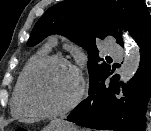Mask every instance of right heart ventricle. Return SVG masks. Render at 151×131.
I'll return each mask as SVG.
<instances>
[{"label":"right heart ventricle","instance_id":"obj_1","mask_svg":"<svg viewBox=\"0 0 151 131\" xmlns=\"http://www.w3.org/2000/svg\"><path fill=\"white\" fill-rule=\"evenodd\" d=\"M49 46H44L40 48L36 53H34L26 62L24 65L17 81L14 86L12 96H11V101H10V108H11V113L14 117H25L27 114L21 109L20 103H19V97H20V91H21V84L23 77L25 75L26 70L29 68V66L34 63L36 60L47 56L49 53Z\"/></svg>","mask_w":151,"mask_h":131}]
</instances>
